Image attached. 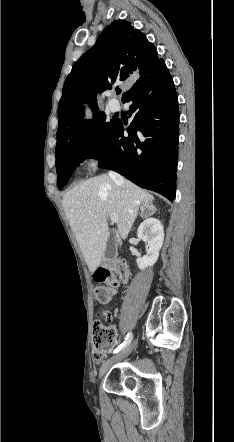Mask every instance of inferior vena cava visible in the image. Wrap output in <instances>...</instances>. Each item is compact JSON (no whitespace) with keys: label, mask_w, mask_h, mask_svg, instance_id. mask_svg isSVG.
Masks as SVG:
<instances>
[{"label":"inferior vena cava","mask_w":234,"mask_h":442,"mask_svg":"<svg viewBox=\"0 0 234 442\" xmlns=\"http://www.w3.org/2000/svg\"><path fill=\"white\" fill-rule=\"evenodd\" d=\"M109 176H110V177L112 178V180H113L115 183H117V184H120V183H123V182H124L122 176L119 175V174L116 173V172L110 171V172H109Z\"/></svg>","instance_id":"602c4592"}]
</instances>
